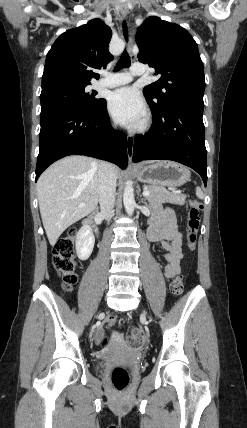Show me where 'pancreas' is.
<instances>
[{"instance_id": "obj_1", "label": "pancreas", "mask_w": 247, "mask_h": 428, "mask_svg": "<svg viewBox=\"0 0 247 428\" xmlns=\"http://www.w3.org/2000/svg\"><path fill=\"white\" fill-rule=\"evenodd\" d=\"M144 189L150 191V194L147 196V199L154 203H171L177 205H184L186 201V195L169 192L163 186L145 185Z\"/></svg>"}]
</instances>
